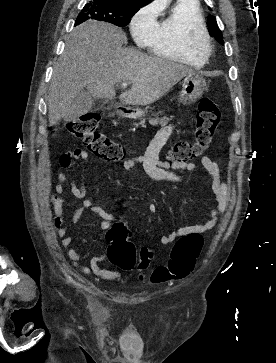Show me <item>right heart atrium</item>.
<instances>
[{
  "mask_svg": "<svg viewBox=\"0 0 276 363\" xmlns=\"http://www.w3.org/2000/svg\"><path fill=\"white\" fill-rule=\"evenodd\" d=\"M158 7L150 4L141 8L131 19L130 30L134 40L146 44L151 38L156 26Z\"/></svg>",
  "mask_w": 276,
  "mask_h": 363,
  "instance_id": "d8ad5b80",
  "label": "right heart atrium"
}]
</instances>
